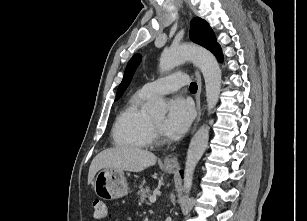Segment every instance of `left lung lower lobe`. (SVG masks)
Segmentation results:
<instances>
[{"mask_svg":"<svg viewBox=\"0 0 307 221\" xmlns=\"http://www.w3.org/2000/svg\"><path fill=\"white\" fill-rule=\"evenodd\" d=\"M218 60L221 62V61H222V58H219ZM181 174H182V172H181Z\"/></svg>","mask_w":307,"mask_h":221,"instance_id":"left-lung-lower-lobe-1","label":"left lung lower lobe"}]
</instances>
